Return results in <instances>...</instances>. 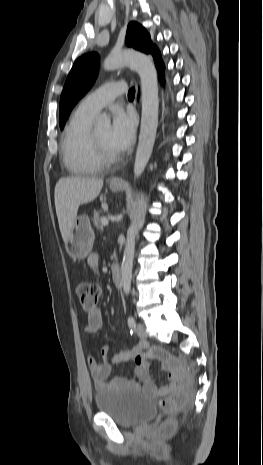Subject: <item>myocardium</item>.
<instances>
[{
  "label": "myocardium",
  "instance_id": "obj_1",
  "mask_svg": "<svg viewBox=\"0 0 263 465\" xmlns=\"http://www.w3.org/2000/svg\"><path fill=\"white\" fill-rule=\"evenodd\" d=\"M90 139L95 151V154L98 160L104 164H110L118 160L119 155L117 153H111L104 148V146L99 142L94 132H91Z\"/></svg>",
  "mask_w": 263,
  "mask_h": 465
}]
</instances>
